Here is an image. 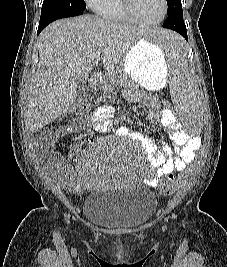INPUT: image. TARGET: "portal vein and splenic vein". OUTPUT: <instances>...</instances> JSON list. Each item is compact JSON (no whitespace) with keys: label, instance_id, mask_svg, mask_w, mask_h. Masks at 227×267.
I'll use <instances>...</instances> for the list:
<instances>
[{"label":"portal vein and splenic vein","instance_id":"18ae733b","mask_svg":"<svg viewBox=\"0 0 227 267\" xmlns=\"http://www.w3.org/2000/svg\"><path fill=\"white\" fill-rule=\"evenodd\" d=\"M92 64H93V65H97V64H98V59L94 60V61L92 62Z\"/></svg>","mask_w":227,"mask_h":267}]
</instances>
